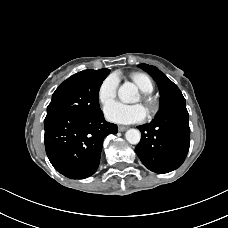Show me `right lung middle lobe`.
Returning <instances> with one entry per match:
<instances>
[{
  "mask_svg": "<svg viewBox=\"0 0 228 228\" xmlns=\"http://www.w3.org/2000/svg\"><path fill=\"white\" fill-rule=\"evenodd\" d=\"M109 72V69L84 70L65 80L53 93L47 115L99 113V89Z\"/></svg>",
  "mask_w": 228,
  "mask_h": 228,
  "instance_id": "obj_1",
  "label": "right lung middle lobe"
}]
</instances>
